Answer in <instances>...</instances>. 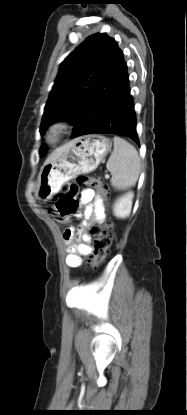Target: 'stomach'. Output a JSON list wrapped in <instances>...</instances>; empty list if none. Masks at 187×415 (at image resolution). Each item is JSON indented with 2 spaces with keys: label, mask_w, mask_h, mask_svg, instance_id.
<instances>
[{
  "label": "stomach",
  "mask_w": 187,
  "mask_h": 415,
  "mask_svg": "<svg viewBox=\"0 0 187 415\" xmlns=\"http://www.w3.org/2000/svg\"><path fill=\"white\" fill-rule=\"evenodd\" d=\"M111 140L102 135H86L70 142L57 159L45 163L38 175L35 196L49 200L62 185L77 175L95 170L111 149Z\"/></svg>",
  "instance_id": "obj_1"
}]
</instances>
